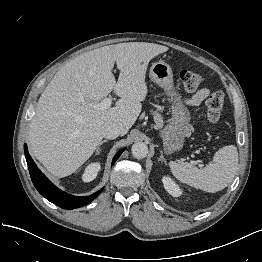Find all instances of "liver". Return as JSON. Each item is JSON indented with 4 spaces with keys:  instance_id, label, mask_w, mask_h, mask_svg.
I'll return each mask as SVG.
<instances>
[{
    "instance_id": "obj_1",
    "label": "liver",
    "mask_w": 262,
    "mask_h": 262,
    "mask_svg": "<svg viewBox=\"0 0 262 262\" xmlns=\"http://www.w3.org/2000/svg\"><path fill=\"white\" fill-rule=\"evenodd\" d=\"M166 51L154 43H120L83 53L59 69L38 100L28 133L33 155L49 173H74L99 147L103 126L115 124L121 135L129 131L147 96L148 63ZM112 90L121 98L115 106L95 108Z\"/></svg>"
}]
</instances>
